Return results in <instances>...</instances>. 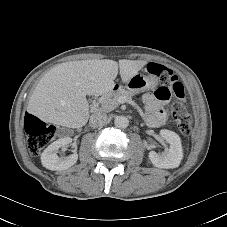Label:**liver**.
<instances>
[{
    "instance_id": "liver-1",
    "label": "liver",
    "mask_w": 227,
    "mask_h": 227,
    "mask_svg": "<svg viewBox=\"0 0 227 227\" xmlns=\"http://www.w3.org/2000/svg\"><path fill=\"white\" fill-rule=\"evenodd\" d=\"M147 61L92 59L65 62L48 71L30 96L27 110L44 122L80 128L89 118L86 95L100 96L113 90L118 69L123 83Z\"/></svg>"
}]
</instances>
